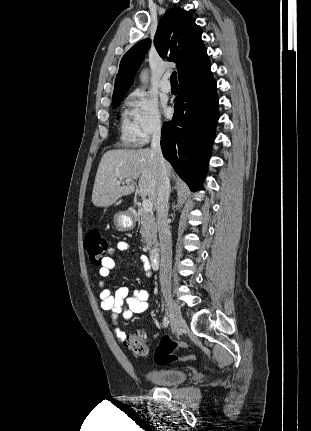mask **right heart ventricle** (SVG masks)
Listing matches in <instances>:
<instances>
[{"label": "right heart ventricle", "instance_id": "1", "mask_svg": "<svg viewBox=\"0 0 311 431\" xmlns=\"http://www.w3.org/2000/svg\"><path fill=\"white\" fill-rule=\"evenodd\" d=\"M119 139L125 146L135 145L139 141L137 126L130 119L128 112H123L119 125Z\"/></svg>", "mask_w": 311, "mask_h": 431}]
</instances>
